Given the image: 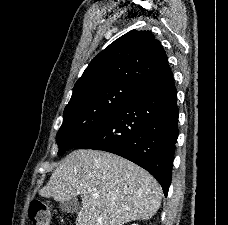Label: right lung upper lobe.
<instances>
[{
    "mask_svg": "<svg viewBox=\"0 0 228 225\" xmlns=\"http://www.w3.org/2000/svg\"><path fill=\"white\" fill-rule=\"evenodd\" d=\"M167 65L166 53L151 32L131 30L91 61L76 82L70 102L82 92L103 84L123 82L140 88Z\"/></svg>",
    "mask_w": 228,
    "mask_h": 225,
    "instance_id": "1",
    "label": "right lung upper lobe"
}]
</instances>
